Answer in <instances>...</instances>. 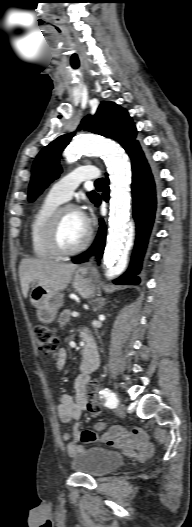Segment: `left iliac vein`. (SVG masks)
Listing matches in <instances>:
<instances>
[{
  "label": "left iliac vein",
  "mask_w": 192,
  "mask_h": 527,
  "mask_svg": "<svg viewBox=\"0 0 192 527\" xmlns=\"http://www.w3.org/2000/svg\"><path fill=\"white\" fill-rule=\"evenodd\" d=\"M115 413L119 417H125L126 415V406L123 403H119L117 407L115 408Z\"/></svg>",
  "instance_id": "obj_1"
}]
</instances>
